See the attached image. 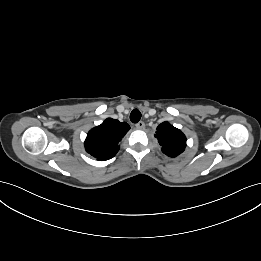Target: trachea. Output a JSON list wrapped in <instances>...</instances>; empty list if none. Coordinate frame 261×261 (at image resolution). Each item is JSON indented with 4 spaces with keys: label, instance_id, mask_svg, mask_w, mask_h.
Here are the masks:
<instances>
[{
    "label": "trachea",
    "instance_id": "trachea-1",
    "mask_svg": "<svg viewBox=\"0 0 261 261\" xmlns=\"http://www.w3.org/2000/svg\"><path fill=\"white\" fill-rule=\"evenodd\" d=\"M141 119V112L138 109H134L130 114V120L133 123H138Z\"/></svg>",
    "mask_w": 261,
    "mask_h": 261
}]
</instances>
